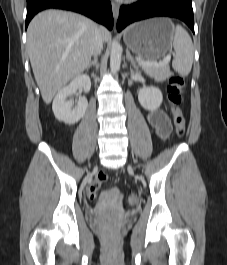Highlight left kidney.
I'll return each mask as SVG.
<instances>
[{
  "label": "left kidney",
  "mask_w": 227,
  "mask_h": 265,
  "mask_svg": "<svg viewBox=\"0 0 227 265\" xmlns=\"http://www.w3.org/2000/svg\"><path fill=\"white\" fill-rule=\"evenodd\" d=\"M138 100L144 109L155 111L160 107L163 96L157 87H144L138 93Z\"/></svg>",
  "instance_id": "1"
}]
</instances>
